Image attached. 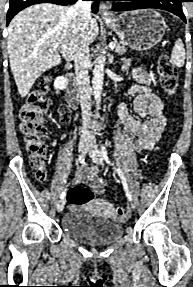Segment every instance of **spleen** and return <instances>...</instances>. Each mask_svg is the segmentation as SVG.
Returning a JSON list of instances; mask_svg holds the SVG:
<instances>
[{
  "mask_svg": "<svg viewBox=\"0 0 193 287\" xmlns=\"http://www.w3.org/2000/svg\"><path fill=\"white\" fill-rule=\"evenodd\" d=\"M171 61L177 67H182L185 62V49L181 39H177L171 53Z\"/></svg>",
  "mask_w": 193,
  "mask_h": 287,
  "instance_id": "1",
  "label": "spleen"
}]
</instances>
